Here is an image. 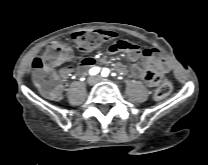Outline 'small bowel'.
<instances>
[{
    "label": "small bowel",
    "mask_w": 208,
    "mask_h": 165,
    "mask_svg": "<svg viewBox=\"0 0 208 165\" xmlns=\"http://www.w3.org/2000/svg\"><path fill=\"white\" fill-rule=\"evenodd\" d=\"M105 40H113L109 46L108 53L110 55L116 53H124L132 61L141 60L138 65L128 68L122 63H113L114 68L121 74L131 73L135 77L141 78L148 86H156L164 73L170 68V62L155 49H141L136 43L128 40H116L117 33L113 30L102 31ZM98 60L93 57L83 58L80 61V66L83 69L95 67ZM76 64L73 61H68L61 66L62 77H68L70 73L75 72Z\"/></svg>",
    "instance_id": "c3829d8e"
}]
</instances>
